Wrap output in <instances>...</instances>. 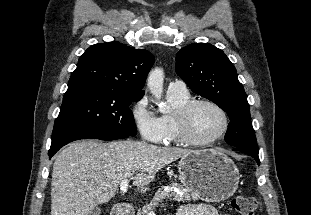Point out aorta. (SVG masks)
<instances>
[{
  "instance_id": "1",
  "label": "aorta",
  "mask_w": 311,
  "mask_h": 215,
  "mask_svg": "<svg viewBox=\"0 0 311 215\" xmlns=\"http://www.w3.org/2000/svg\"><path fill=\"white\" fill-rule=\"evenodd\" d=\"M163 81L164 72L161 68H155L151 70L147 78V86L150 93L157 99L160 100L163 93ZM168 106L164 103L159 104V111L161 113H166L168 111Z\"/></svg>"
}]
</instances>
